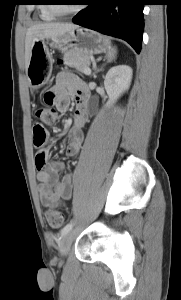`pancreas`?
Wrapping results in <instances>:
<instances>
[{
    "instance_id": "1",
    "label": "pancreas",
    "mask_w": 181,
    "mask_h": 300,
    "mask_svg": "<svg viewBox=\"0 0 181 300\" xmlns=\"http://www.w3.org/2000/svg\"><path fill=\"white\" fill-rule=\"evenodd\" d=\"M63 61L65 65L75 68L77 71L84 73V69L90 65V57L74 50L64 53Z\"/></svg>"
}]
</instances>
